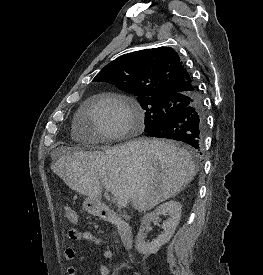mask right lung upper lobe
Returning <instances> with one entry per match:
<instances>
[{"instance_id":"1","label":"right lung upper lobe","mask_w":263,"mask_h":275,"mask_svg":"<svg viewBox=\"0 0 263 275\" xmlns=\"http://www.w3.org/2000/svg\"><path fill=\"white\" fill-rule=\"evenodd\" d=\"M94 80L112 83L136 96L182 94L193 97L198 94L179 55L171 47L125 54L106 65Z\"/></svg>"}]
</instances>
